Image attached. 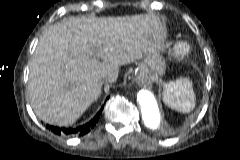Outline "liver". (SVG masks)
Returning <instances> with one entry per match:
<instances>
[{
  "label": "liver",
  "mask_w": 240,
  "mask_h": 160,
  "mask_svg": "<svg viewBox=\"0 0 240 160\" xmlns=\"http://www.w3.org/2000/svg\"><path fill=\"white\" fill-rule=\"evenodd\" d=\"M163 27L155 15L70 17L49 27L30 62L28 93L35 114L55 125L74 123L99 97L119 66L156 53Z\"/></svg>",
  "instance_id": "obj_1"
}]
</instances>
